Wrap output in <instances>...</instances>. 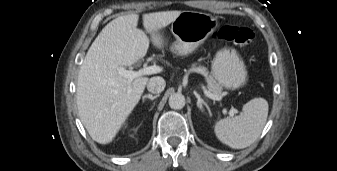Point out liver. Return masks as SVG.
I'll use <instances>...</instances> for the list:
<instances>
[{"label": "liver", "mask_w": 337, "mask_h": 171, "mask_svg": "<svg viewBox=\"0 0 337 171\" xmlns=\"http://www.w3.org/2000/svg\"><path fill=\"white\" fill-rule=\"evenodd\" d=\"M180 13L174 10L144 14L143 26L150 39L137 28L138 14L117 17L96 37L80 67L76 91L79 117L94 141L108 144L114 139L149 81L141 76L129 84L117 68L143 58L150 41L158 49L163 48L160 30Z\"/></svg>", "instance_id": "1"}]
</instances>
